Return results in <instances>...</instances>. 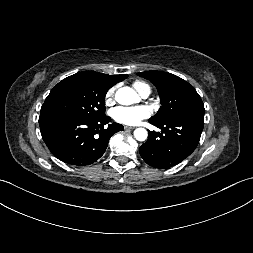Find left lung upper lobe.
Masks as SVG:
<instances>
[{
    "label": "left lung upper lobe",
    "mask_w": 253,
    "mask_h": 253,
    "mask_svg": "<svg viewBox=\"0 0 253 253\" xmlns=\"http://www.w3.org/2000/svg\"><path fill=\"white\" fill-rule=\"evenodd\" d=\"M148 79L158 89L161 107L150 118L151 121L163 123L174 120L194 110L204 109V104L194 87L182 78L162 71H146L137 73Z\"/></svg>",
    "instance_id": "left-lung-upper-lobe-1"
}]
</instances>
